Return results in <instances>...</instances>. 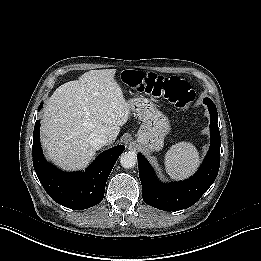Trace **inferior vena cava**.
Wrapping results in <instances>:
<instances>
[{
  "mask_svg": "<svg viewBox=\"0 0 261 261\" xmlns=\"http://www.w3.org/2000/svg\"><path fill=\"white\" fill-rule=\"evenodd\" d=\"M92 143H93V147L96 150H99L100 148L105 146L107 143H109V138L104 134H99L93 138Z\"/></svg>",
  "mask_w": 261,
  "mask_h": 261,
  "instance_id": "602c4592",
  "label": "inferior vena cava"
}]
</instances>
